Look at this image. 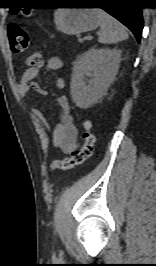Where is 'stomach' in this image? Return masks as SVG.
<instances>
[{
  "label": "stomach",
  "instance_id": "stomach-1",
  "mask_svg": "<svg viewBox=\"0 0 156 266\" xmlns=\"http://www.w3.org/2000/svg\"><path fill=\"white\" fill-rule=\"evenodd\" d=\"M54 18L57 30L68 35L88 32L100 25L97 9L60 8Z\"/></svg>",
  "mask_w": 156,
  "mask_h": 266
}]
</instances>
